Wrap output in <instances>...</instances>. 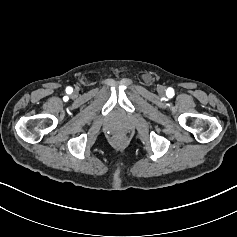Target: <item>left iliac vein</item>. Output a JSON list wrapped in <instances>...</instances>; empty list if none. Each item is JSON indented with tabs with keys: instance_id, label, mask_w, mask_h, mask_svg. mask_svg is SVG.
<instances>
[{
	"instance_id": "1",
	"label": "left iliac vein",
	"mask_w": 237,
	"mask_h": 237,
	"mask_svg": "<svg viewBox=\"0 0 237 237\" xmlns=\"http://www.w3.org/2000/svg\"><path fill=\"white\" fill-rule=\"evenodd\" d=\"M158 91L160 92V93H164L165 92V87L164 86H159L158 87Z\"/></svg>"
}]
</instances>
